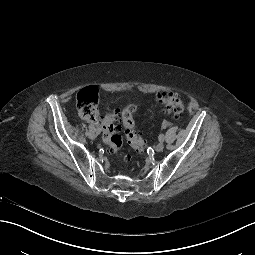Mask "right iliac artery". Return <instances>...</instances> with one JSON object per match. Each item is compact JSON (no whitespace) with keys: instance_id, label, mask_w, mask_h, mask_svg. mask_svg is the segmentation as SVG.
<instances>
[{"instance_id":"obj_1","label":"right iliac artery","mask_w":255,"mask_h":255,"mask_svg":"<svg viewBox=\"0 0 255 255\" xmlns=\"http://www.w3.org/2000/svg\"><path fill=\"white\" fill-rule=\"evenodd\" d=\"M89 130L90 131H95V127L93 125H89Z\"/></svg>"}]
</instances>
